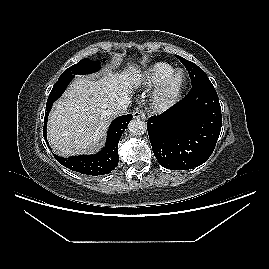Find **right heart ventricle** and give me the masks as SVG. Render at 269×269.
I'll return each mask as SVG.
<instances>
[{
  "label": "right heart ventricle",
  "mask_w": 269,
  "mask_h": 269,
  "mask_svg": "<svg viewBox=\"0 0 269 269\" xmlns=\"http://www.w3.org/2000/svg\"><path fill=\"white\" fill-rule=\"evenodd\" d=\"M174 71V67L166 62H155L139 72L133 85L137 89L144 90L158 87Z\"/></svg>",
  "instance_id": "right-heart-ventricle-1"
}]
</instances>
